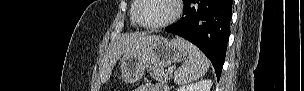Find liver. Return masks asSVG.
<instances>
[{
    "mask_svg": "<svg viewBox=\"0 0 304 91\" xmlns=\"http://www.w3.org/2000/svg\"><path fill=\"white\" fill-rule=\"evenodd\" d=\"M152 37L139 33L121 36L110 46L102 59L99 68L100 83L103 84L108 81L113 67L121 54L143 48Z\"/></svg>",
    "mask_w": 304,
    "mask_h": 91,
    "instance_id": "liver-1",
    "label": "liver"
}]
</instances>
